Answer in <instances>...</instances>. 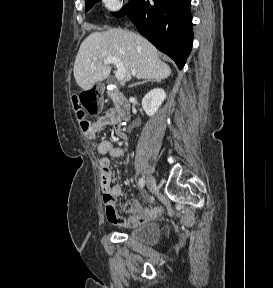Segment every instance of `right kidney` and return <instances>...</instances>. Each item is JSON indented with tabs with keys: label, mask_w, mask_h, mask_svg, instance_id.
Returning <instances> with one entry per match:
<instances>
[{
	"label": "right kidney",
	"mask_w": 273,
	"mask_h": 288,
	"mask_svg": "<svg viewBox=\"0 0 273 288\" xmlns=\"http://www.w3.org/2000/svg\"><path fill=\"white\" fill-rule=\"evenodd\" d=\"M166 98V93L161 88H155L147 93L142 99V107L148 116H154L162 102Z\"/></svg>",
	"instance_id": "right-kidney-1"
}]
</instances>
